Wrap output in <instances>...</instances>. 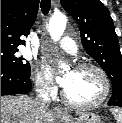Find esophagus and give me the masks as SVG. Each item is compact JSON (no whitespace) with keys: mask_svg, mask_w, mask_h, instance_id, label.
Masks as SVG:
<instances>
[{"mask_svg":"<svg viewBox=\"0 0 122 123\" xmlns=\"http://www.w3.org/2000/svg\"><path fill=\"white\" fill-rule=\"evenodd\" d=\"M52 113L56 116H63L65 114V112L58 107H53Z\"/></svg>","mask_w":122,"mask_h":123,"instance_id":"obj_1","label":"esophagus"}]
</instances>
